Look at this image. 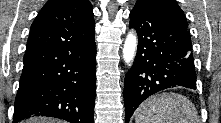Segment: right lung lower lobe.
Segmentation results:
<instances>
[{
	"instance_id": "98d812e1",
	"label": "right lung lower lobe",
	"mask_w": 221,
	"mask_h": 123,
	"mask_svg": "<svg viewBox=\"0 0 221 123\" xmlns=\"http://www.w3.org/2000/svg\"><path fill=\"white\" fill-rule=\"evenodd\" d=\"M95 58L94 33L70 44L27 50L13 122L42 115L93 123Z\"/></svg>"
}]
</instances>
